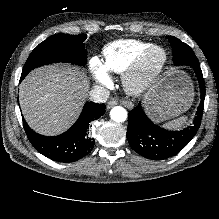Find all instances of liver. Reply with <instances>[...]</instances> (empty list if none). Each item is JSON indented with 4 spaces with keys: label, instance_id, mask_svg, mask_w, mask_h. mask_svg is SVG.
I'll return each instance as SVG.
<instances>
[{
    "label": "liver",
    "instance_id": "6515ba94",
    "mask_svg": "<svg viewBox=\"0 0 219 219\" xmlns=\"http://www.w3.org/2000/svg\"><path fill=\"white\" fill-rule=\"evenodd\" d=\"M86 89L83 75L71 68L36 70L21 85L22 112L35 130L47 134L61 132L76 118Z\"/></svg>",
    "mask_w": 219,
    "mask_h": 219
}]
</instances>
